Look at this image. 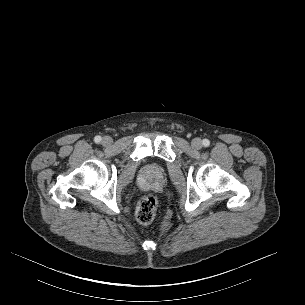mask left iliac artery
Here are the masks:
<instances>
[{
  "mask_svg": "<svg viewBox=\"0 0 305 305\" xmlns=\"http://www.w3.org/2000/svg\"><path fill=\"white\" fill-rule=\"evenodd\" d=\"M202 144L205 146V147H208L210 145V141L208 139H204Z\"/></svg>",
  "mask_w": 305,
  "mask_h": 305,
  "instance_id": "left-iliac-artery-1",
  "label": "left iliac artery"
}]
</instances>
